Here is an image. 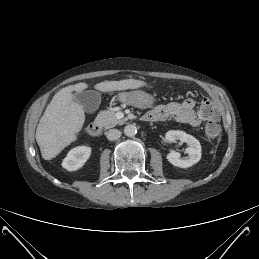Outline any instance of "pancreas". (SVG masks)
<instances>
[{
    "label": "pancreas",
    "instance_id": "obj_1",
    "mask_svg": "<svg viewBox=\"0 0 259 259\" xmlns=\"http://www.w3.org/2000/svg\"><path fill=\"white\" fill-rule=\"evenodd\" d=\"M95 122L105 129L112 128L123 123V120L117 119L114 110H102L98 113Z\"/></svg>",
    "mask_w": 259,
    "mask_h": 259
}]
</instances>
